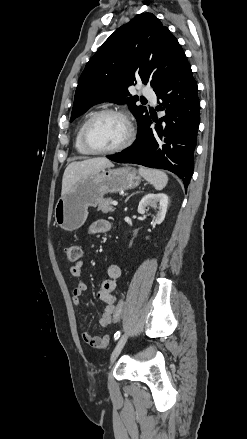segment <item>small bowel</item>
<instances>
[{
  "instance_id": "small-bowel-1",
  "label": "small bowel",
  "mask_w": 247,
  "mask_h": 439,
  "mask_svg": "<svg viewBox=\"0 0 247 439\" xmlns=\"http://www.w3.org/2000/svg\"><path fill=\"white\" fill-rule=\"evenodd\" d=\"M111 229V223L105 219H99L91 224L89 232L91 234H102ZM83 261L78 260L70 267V274L74 278L81 275ZM121 276V269L118 265L112 264L108 267L107 278L102 282L98 291V298L106 304V307L99 319V324L102 327H108L112 323V313L114 311L116 297L113 291L116 288L117 281ZM87 285L85 282L79 281L72 292V302L75 306L81 303V296L86 291ZM82 328V338L86 344L96 349L106 348L109 344V336H93L85 329V323L80 321Z\"/></svg>"
}]
</instances>
